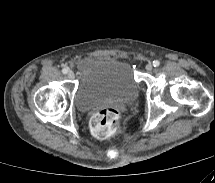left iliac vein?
Masks as SVG:
<instances>
[{
  "mask_svg": "<svg viewBox=\"0 0 215 183\" xmlns=\"http://www.w3.org/2000/svg\"><path fill=\"white\" fill-rule=\"evenodd\" d=\"M146 70L147 71H151L153 69V65L151 63H148L146 66H145Z\"/></svg>",
  "mask_w": 215,
  "mask_h": 183,
  "instance_id": "4c4485c4",
  "label": "left iliac vein"
}]
</instances>
